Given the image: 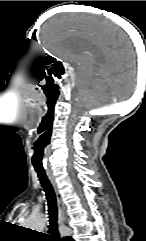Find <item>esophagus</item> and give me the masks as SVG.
<instances>
[{
    "label": "esophagus",
    "instance_id": "1",
    "mask_svg": "<svg viewBox=\"0 0 146 241\" xmlns=\"http://www.w3.org/2000/svg\"><path fill=\"white\" fill-rule=\"evenodd\" d=\"M47 176L48 179L50 180L53 189L55 191L56 194V198H57V203H58V219H59V223L63 224L64 220H65V215H64V204L62 202L60 193H59V188L57 186V183L55 181V177L51 172H47Z\"/></svg>",
    "mask_w": 146,
    "mask_h": 241
}]
</instances>
